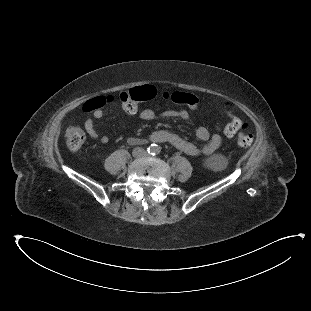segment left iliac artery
<instances>
[{
	"label": "left iliac artery",
	"instance_id": "1",
	"mask_svg": "<svg viewBox=\"0 0 311 311\" xmlns=\"http://www.w3.org/2000/svg\"><path fill=\"white\" fill-rule=\"evenodd\" d=\"M160 151H161V149H160L159 147H157V148L155 149V152H154L153 155H158V154L160 153Z\"/></svg>",
	"mask_w": 311,
	"mask_h": 311
}]
</instances>
